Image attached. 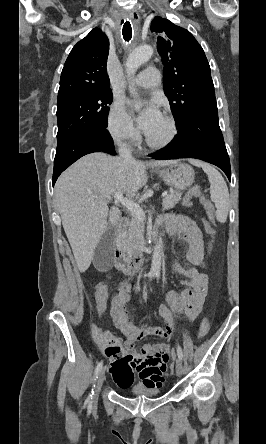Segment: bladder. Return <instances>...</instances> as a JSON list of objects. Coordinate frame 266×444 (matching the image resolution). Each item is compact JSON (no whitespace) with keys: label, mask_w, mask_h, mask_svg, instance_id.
<instances>
[{"label":"bladder","mask_w":266,"mask_h":444,"mask_svg":"<svg viewBox=\"0 0 266 444\" xmlns=\"http://www.w3.org/2000/svg\"><path fill=\"white\" fill-rule=\"evenodd\" d=\"M160 391L157 389H149L144 387H134L131 394L138 397L154 398L159 395Z\"/></svg>","instance_id":"bladder-1"}]
</instances>
